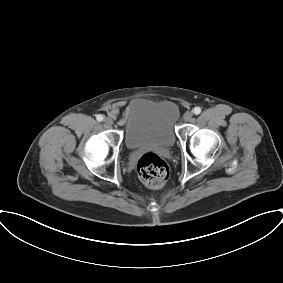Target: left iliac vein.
<instances>
[{
  "instance_id": "left-iliac-vein-1",
  "label": "left iliac vein",
  "mask_w": 283,
  "mask_h": 283,
  "mask_svg": "<svg viewBox=\"0 0 283 283\" xmlns=\"http://www.w3.org/2000/svg\"><path fill=\"white\" fill-rule=\"evenodd\" d=\"M193 117V112L192 111H187L185 114H184V120L185 121H190Z\"/></svg>"
}]
</instances>
